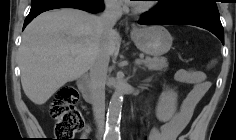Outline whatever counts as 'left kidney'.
<instances>
[{"instance_id": "left-kidney-1", "label": "left kidney", "mask_w": 236, "mask_h": 140, "mask_svg": "<svg viewBox=\"0 0 236 140\" xmlns=\"http://www.w3.org/2000/svg\"><path fill=\"white\" fill-rule=\"evenodd\" d=\"M177 110V94L173 90H166L159 97L156 106V117L158 120L167 122Z\"/></svg>"}]
</instances>
